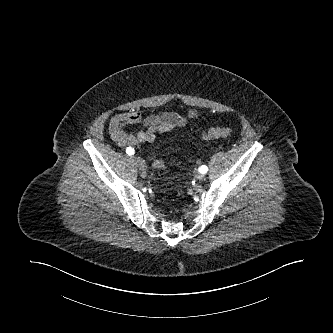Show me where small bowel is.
Returning a JSON list of instances; mask_svg holds the SVG:
<instances>
[{
  "label": "small bowel",
  "mask_w": 333,
  "mask_h": 333,
  "mask_svg": "<svg viewBox=\"0 0 333 333\" xmlns=\"http://www.w3.org/2000/svg\"><path fill=\"white\" fill-rule=\"evenodd\" d=\"M197 116L191 111L185 116L172 112H160L143 115L139 111L130 110L115 114L109 122L111 139L119 147L138 146L144 143H153L158 133L173 131L186 125L187 121ZM142 124L147 129L138 132H126L125 126Z\"/></svg>",
  "instance_id": "obj_1"
}]
</instances>
